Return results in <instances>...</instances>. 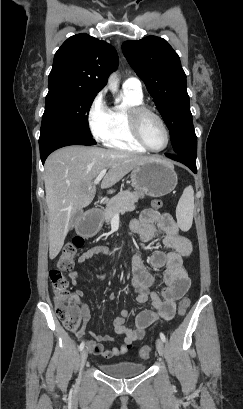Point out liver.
Segmentation results:
<instances>
[{"instance_id": "obj_1", "label": "liver", "mask_w": 243, "mask_h": 409, "mask_svg": "<svg viewBox=\"0 0 243 409\" xmlns=\"http://www.w3.org/2000/svg\"><path fill=\"white\" fill-rule=\"evenodd\" d=\"M149 159L152 157L85 146H68L49 155L44 175L49 210V258L53 260L59 254L73 216L93 201L94 180L101 170L109 169L101 183V187L107 189Z\"/></svg>"}]
</instances>
